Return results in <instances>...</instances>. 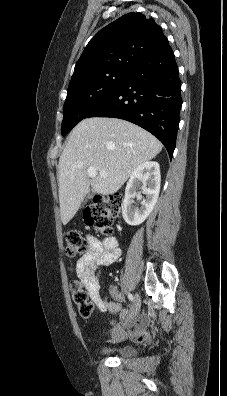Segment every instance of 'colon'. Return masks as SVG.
Returning a JSON list of instances; mask_svg holds the SVG:
<instances>
[{
    "instance_id": "1",
    "label": "colon",
    "mask_w": 227,
    "mask_h": 396,
    "mask_svg": "<svg viewBox=\"0 0 227 396\" xmlns=\"http://www.w3.org/2000/svg\"><path fill=\"white\" fill-rule=\"evenodd\" d=\"M123 206V199L118 194L97 196L84 212L85 223L103 235L112 233V224ZM65 250L69 257L84 255L88 251L86 239L76 231H71L65 238ZM70 289L74 303L84 318H89L94 306L88 300V294L80 280H72Z\"/></svg>"
}]
</instances>
